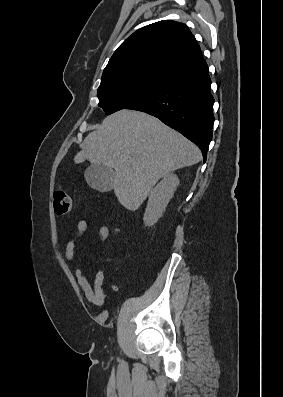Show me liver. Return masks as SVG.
I'll return each instance as SVG.
<instances>
[{"label":"liver","mask_w":283,"mask_h":397,"mask_svg":"<svg viewBox=\"0 0 283 397\" xmlns=\"http://www.w3.org/2000/svg\"><path fill=\"white\" fill-rule=\"evenodd\" d=\"M201 158L195 144L159 119L123 109L85 138L74 162L88 160L114 169V193L121 205L135 211L160 178Z\"/></svg>","instance_id":"1"}]
</instances>
